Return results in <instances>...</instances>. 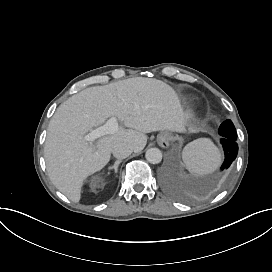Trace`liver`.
I'll return each instance as SVG.
<instances>
[{
	"label": "liver",
	"mask_w": 272,
	"mask_h": 272,
	"mask_svg": "<svg viewBox=\"0 0 272 272\" xmlns=\"http://www.w3.org/2000/svg\"><path fill=\"white\" fill-rule=\"evenodd\" d=\"M111 116L128 129L121 127L94 144L84 139ZM187 118L174 89L161 80L135 77L86 88L62 103L48 125L44 156L50 180L68 199L79 202L83 181L109 162L116 144L140 152L147 143L145 133L180 132Z\"/></svg>",
	"instance_id": "6515ba94"
}]
</instances>
